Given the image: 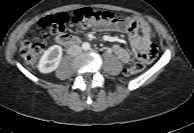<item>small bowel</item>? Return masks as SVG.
<instances>
[{
  "label": "small bowel",
  "instance_id": "small-bowel-1",
  "mask_svg": "<svg viewBox=\"0 0 194 133\" xmlns=\"http://www.w3.org/2000/svg\"><path fill=\"white\" fill-rule=\"evenodd\" d=\"M95 29L98 31L126 33L132 50L138 59L140 54H156V48L153 43L154 32L149 23L138 16L131 15L110 25L95 26ZM112 51L123 64L131 63L129 52L121 46H112Z\"/></svg>",
  "mask_w": 194,
  "mask_h": 133
}]
</instances>
